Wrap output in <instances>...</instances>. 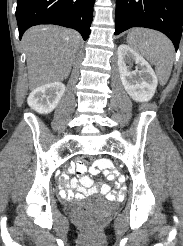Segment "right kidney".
<instances>
[{
    "label": "right kidney",
    "instance_id": "1",
    "mask_svg": "<svg viewBox=\"0 0 183 246\" xmlns=\"http://www.w3.org/2000/svg\"><path fill=\"white\" fill-rule=\"evenodd\" d=\"M65 92V85L61 82L48 83L34 89L28 99V105L40 114L52 112L58 105Z\"/></svg>",
    "mask_w": 183,
    "mask_h": 246
}]
</instances>
